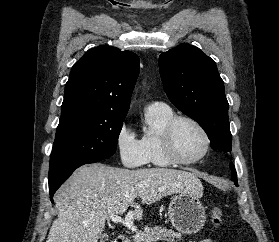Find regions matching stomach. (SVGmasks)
I'll use <instances>...</instances> for the list:
<instances>
[{
	"mask_svg": "<svg viewBox=\"0 0 279 242\" xmlns=\"http://www.w3.org/2000/svg\"><path fill=\"white\" fill-rule=\"evenodd\" d=\"M168 217L177 231L184 234H195L203 228L207 216L199 196L181 192L170 201Z\"/></svg>",
	"mask_w": 279,
	"mask_h": 242,
	"instance_id": "0dacf381",
	"label": "stomach"
}]
</instances>
